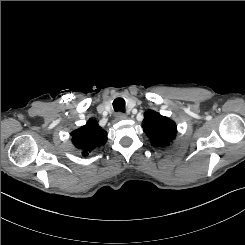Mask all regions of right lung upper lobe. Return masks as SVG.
I'll return each mask as SVG.
<instances>
[{"instance_id":"1","label":"right lung upper lobe","mask_w":245,"mask_h":245,"mask_svg":"<svg viewBox=\"0 0 245 245\" xmlns=\"http://www.w3.org/2000/svg\"><path fill=\"white\" fill-rule=\"evenodd\" d=\"M71 136L74 146L81 150L83 156H87L107 141V132L94 119H89L86 125L74 130Z\"/></svg>"}]
</instances>
